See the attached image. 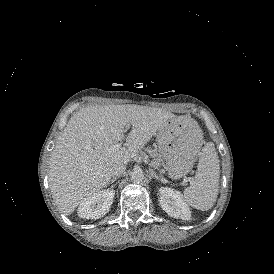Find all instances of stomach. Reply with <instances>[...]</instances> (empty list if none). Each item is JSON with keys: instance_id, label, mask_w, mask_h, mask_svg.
<instances>
[{"instance_id": "0dacf381", "label": "stomach", "mask_w": 274, "mask_h": 274, "mask_svg": "<svg viewBox=\"0 0 274 274\" xmlns=\"http://www.w3.org/2000/svg\"><path fill=\"white\" fill-rule=\"evenodd\" d=\"M199 127L195 121L177 124L165 134L158 133V150L166 162L168 176L177 180L191 171L193 161L199 151L201 142H198ZM196 147V152L192 149Z\"/></svg>"}]
</instances>
